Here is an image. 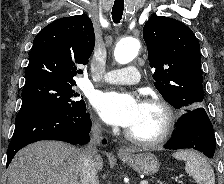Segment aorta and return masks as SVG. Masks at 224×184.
I'll list each match as a JSON object with an SVG mask.
<instances>
[{"instance_id": "aorta-1", "label": "aorta", "mask_w": 224, "mask_h": 184, "mask_svg": "<svg viewBox=\"0 0 224 184\" xmlns=\"http://www.w3.org/2000/svg\"><path fill=\"white\" fill-rule=\"evenodd\" d=\"M140 42L135 38H124L118 42L114 50L115 60L119 64L131 62L137 55Z\"/></svg>"}]
</instances>
